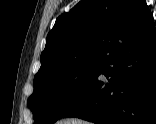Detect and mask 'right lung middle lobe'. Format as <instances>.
<instances>
[{"instance_id":"obj_1","label":"right lung middle lobe","mask_w":156,"mask_h":124,"mask_svg":"<svg viewBox=\"0 0 156 124\" xmlns=\"http://www.w3.org/2000/svg\"><path fill=\"white\" fill-rule=\"evenodd\" d=\"M101 60L95 59L55 69L34 78L28 99L36 124H53L72 105L92 80Z\"/></svg>"}]
</instances>
